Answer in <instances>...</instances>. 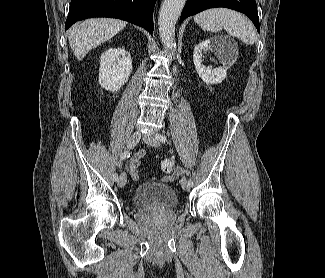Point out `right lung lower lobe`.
<instances>
[{
	"mask_svg": "<svg viewBox=\"0 0 325 278\" xmlns=\"http://www.w3.org/2000/svg\"><path fill=\"white\" fill-rule=\"evenodd\" d=\"M155 3L156 0H72L65 29L83 19L111 17L141 26L152 34Z\"/></svg>",
	"mask_w": 325,
	"mask_h": 278,
	"instance_id": "right-lung-lower-lobe-1",
	"label": "right lung lower lobe"
}]
</instances>
